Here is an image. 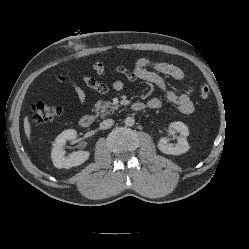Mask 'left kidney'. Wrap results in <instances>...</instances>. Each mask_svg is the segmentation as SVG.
Instances as JSON below:
<instances>
[{
  "label": "left kidney",
  "mask_w": 249,
  "mask_h": 249,
  "mask_svg": "<svg viewBox=\"0 0 249 249\" xmlns=\"http://www.w3.org/2000/svg\"><path fill=\"white\" fill-rule=\"evenodd\" d=\"M174 130L180 133V136L177 138V143L175 145L169 144L168 139L161 138L158 142V148L161 152L168 155H180L187 152L190 149V146L187 142L186 137L189 135L188 127L182 122H172L170 124Z\"/></svg>",
  "instance_id": "5707ae66"
}]
</instances>
